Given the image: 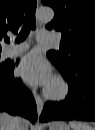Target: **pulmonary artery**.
Listing matches in <instances>:
<instances>
[{
  "label": "pulmonary artery",
  "instance_id": "1",
  "mask_svg": "<svg viewBox=\"0 0 95 130\" xmlns=\"http://www.w3.org/2000/svg\"><path fill=\"white\" fill-rule=\"evenodd\" d=\"M39 43H49L56 41L55 34L49 31H40L37 36ZM27 43H20L18 45H11L4 50L5 57H13L19 55L28 49Z\"/></svg>",
  "mask_w": 95,
  "mask_h": 130
}]
</instances>
